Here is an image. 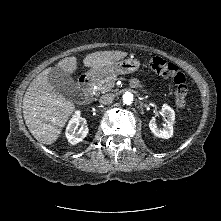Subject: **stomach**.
<instances>
[{"label":"stomach","mask_w":221,"mask_h":221,"mask_svg":"<svg viewBox=\"0 0 221 221\" xmlns=\"http://www.w3.org/2000/svg\"><path fill=\"white\" fill-rule=\"evenodd\" d=\"M140 65L141 63L139 60L130 58L117 61L114 64L102 69L92 68L87 72V75L94 80H99L107 75L133 73L139 69Z\"/></svg>","instance_id":"stomach-1"}]
</instances>
